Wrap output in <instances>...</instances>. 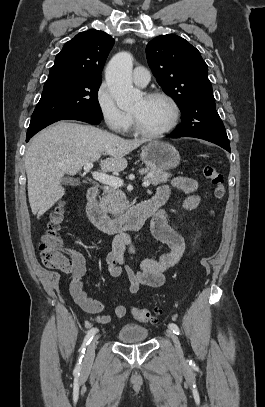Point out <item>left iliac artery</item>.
I'll use <instances>...</instances> for the list:
<instances>
[{
	"label": "left iliac artery",
	"instance_id": "44dca946",
	"mask_svg": "<svg viewBox=\"0 0 265 407\" xmlns=\"http://www.w3.org/2000/svg\"><path fill=\"white\" fill-rule=\"evenodd\" d=\"M169 328H170L171 330H173V332H174L175 334H177V335L180 334L179 327H178L176 324L170 323V324H169Z\"/></svg>",
	"mask_w": 265,
	"mask_h": 407
}]
</instances>
